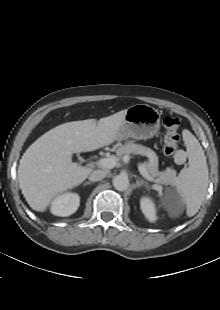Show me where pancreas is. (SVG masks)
<instances>
[{"label":"pancreas","mask_w":220,"mask_h":310,"mask_svg":"<svg viewBox=\"0 0 220 310\" xmlns=\"http://www.w3.org/2000/svg\"><path fill=\"white\" fill-rule=\"evenodd\" d=\"M117 155L122 157L123 155H144L149 158V161L144 164L145 169L149 175L154 178L155 182L163 185H174L176 181V171L171 168H167L163 172L158 171V157L156 153L150 148L144 147L140 144L128 142L121 146L117 150Z\"/></svg>","instance_id":"pancreas-1"}]
</instances>
